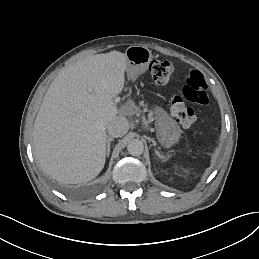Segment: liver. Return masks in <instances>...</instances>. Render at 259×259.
Here are the masks:
<instances>
[{
	"label": "liver",
	"instance_id": "obj_1",
	"mask_svg": "<svg viewBox=\"0 0 259 259\" xmlns=\"http://www.w3.org/2000/svg\"><path fill=\"white\" fill-rule=\"evenodd\" d=\"M126 56L91 55L60 72L37 113L33 152L38 165L58 181L88 182L106 159V128L122 113L113 98L124 87Z\"/></svg>",
	"mask_w": 259,
	"mask_h": 259
}]
</instances>
